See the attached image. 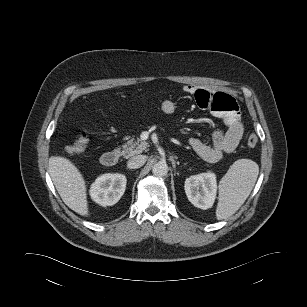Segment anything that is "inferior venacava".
Wrapping results in <instances>:
<instances>
[{"label":"inferior vena cava","mask_w":307,"mask_h":307,"mask_svg":"<svg viewBox=\"0 0 307 307\" xmlns=\"http://www.w3.org/2000/svg\"><path fill=\"white\" fill-rule=\"evenodd\" d=\"M146 162V156L144 155H137V156H133L131 157L128 162H127V166L130 169H137L142 167Z\"/></svg>","instance_id":"obj_1"}]
</instances>
